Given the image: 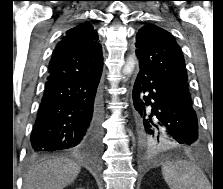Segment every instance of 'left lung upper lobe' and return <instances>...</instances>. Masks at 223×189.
<instances>
[{
	"mask_svg": "<svg viewBox=\"0 0 223 189\" xmlns=\"http://www.w3.org/2000/svg\"><path fill=\"white\" fill-rule=\"evenodd\" d=\"M135 46L140 65L156 72L181 101L192 106L184 57L174 37L158 26L147 24L138 31ZM140 136L149 148L175 147L156 128L151 132L140 131Z\"/></svg>",
	"mask_w": 223,
	"mask_h": 189,
	"instance_id": "5c2ea615",
	"label": "left lung upper lobe"
}]
</instances>
